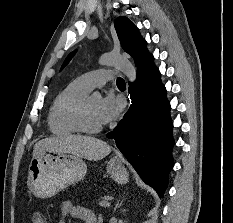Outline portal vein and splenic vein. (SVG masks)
<instances>
[{
  "instance_id": "obj_1",
  "label": "portal vein and splenic vein",
  "mask_w": 233,
  "mask_h": 223,
  "mask_svg": "<svg viewBox=\"0 0 233 223\" xmlns=\"http://www.w3.org/2000/svg\"><path fill=\"white\" fill-rule=\"evenodd\" d=\"M101 206L108 207L109 203L108 201H101Z\"/></svg>"
}]
</instances>
